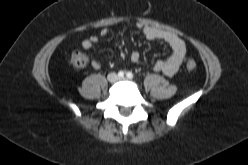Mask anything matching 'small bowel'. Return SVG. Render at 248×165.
Here are the masks:
<instances>
[{
  "label": "small bowel",
  "instance_id": "obj_1",
  "mask_svg": "<svg viewBox=\"0 0 248 165\" xmlns=\"http://www.w3.org/2000/svg\"><path fill=\"white\" fill-rule=\"evenodd\" d=\"M137 27L142 31L145 38L148 40H161L167 43L172 53L165 60H158L153 64V70L156 72H162L165 75L171 77L174 76L181 65L186 61V45L185 42L175 33L170 31L161 30L157 27L145 24H138ZM108 34L106 28L102 29L99 35H92L83 40L81 47L84 50H91L95 44H97L101 37H105ZM130 60L133 63H139L141 56L139 52L133 51L130 54ZM90 65L92 68L98 70L101 68L100 62L95 58H90Z\"/></svg>",
  "mask_w": 248,
  "mask_h": 165
}]
</instances>
